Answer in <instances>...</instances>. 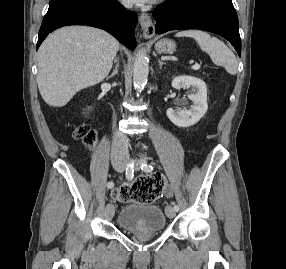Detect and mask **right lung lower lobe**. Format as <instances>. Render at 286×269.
<instances>
[{"instance_id":"98d812e1","label":"right lung lower lobe","mask_w":286,"mask_h":269,"mask_svg":"<svg viewBox=\"0 0 286 269\" xmlns=\"http://www.w3.org/2000/svg\"><path fill=\"white\" fill-rule=\"evenodd\" d=\"M137 15L116 0L106 7L94 0H71L48 9L40 27L36 50L49 33L68 25H88L103 29L130 49L137 46L134 29Z\"/></svg>"}]
</instances>
